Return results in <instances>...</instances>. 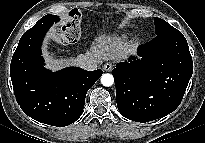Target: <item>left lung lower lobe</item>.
Instances as JSON below:
<instances>
[{
    "mask_svg": "<svg viewBox=\"0 0 205 143\" xmlns=\"http://www.w3.org/2000/svg\"><path fill=\"white\" fill-rule=\"evenodd\" d=\"M141 59L121 62L112 70L119 112L145 123L173 112L193 73L187 41L178 30L159 34L140 46Z\"/></svg>",
    "mask_w": 205,
    "mask_h": 143,
    "instance_id": "1",
    "label": "left lung lower lobe"
}]
</instances>
